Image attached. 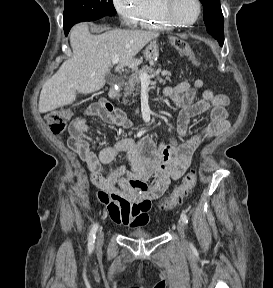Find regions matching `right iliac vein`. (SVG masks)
I'll return each mask as SVG.
<instances>
[{"instance_id": "1", "label": "right iliac vein", "mask_w": 273, "mask_h": 288, "mask_svg": "<svg viewBox=\"0 0 273 288\" xmlns=\"http://www.w3.org/2000/svg\"><path fill=\"white\" fill-rule=\"evenodd\" d=\"M103 241H104V234L102 231H100L97 237V248H101Z\"/></svg>"}]
</instances>
